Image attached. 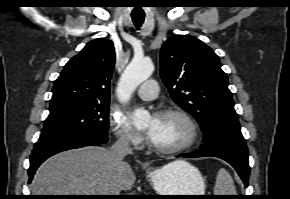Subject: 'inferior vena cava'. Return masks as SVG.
<instances>
[{
  "instance_id": "obj_1",
  "label": "inferior vena cava",
  "mask_w": 290,
  "mask_h": 199,
  "mask_svg": "<svg viewBox=\"0 0 290 199\" xmlns=\"http://www.w3.org/2000/svg\"><path fill=\"white\" fill-rule=\"evenodd\" d=\"M111 152L117 158L120 165L123 164L122 159L128 155L133 154L132 148L130 147L129 137L127 134H122L120 138L112 145ZM115 195H120L116 193Z\"/></svg>"
}]
</instances>
